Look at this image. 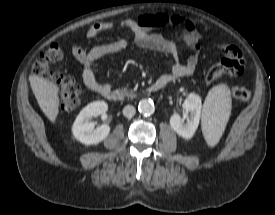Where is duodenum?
Segmentation results:
<instances>
[{
    "instance_id": "410a0bca",
    "label": "duodenum",
    "mask_w": 275,
    "mask_h": 215,
    "mask_svg": "<svg viewBox=\"0 0 275 215\" xmlns=\"http://www.w3.org/2000/svg\"><path fill=\"white\" fill-rule=\"evenodd\" d=\"M168 85V80L159 78L157 81H155L152 85H150L147 89L148 92H157L161 89H163L165 86ZM103 97L107 100L118 102L121 101L124 97L123 92L118 90H107L103 94Z\"/></svg>"
}]
</instances>
